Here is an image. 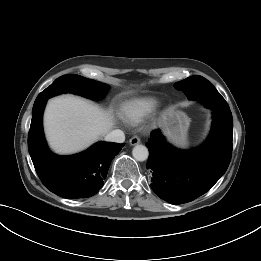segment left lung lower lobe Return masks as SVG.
I'll return each mask as SVG.
<instances>
[{
  "instance_id": "left-lung-lower-lobe-1",
  "label": "left lung lower lobe",
  "mask_w": 261,
  "mask_h": 261,
  "mask_svg": "<svg viewBox=\"0 0 261 261\" xmlns=\"http://www.w3.org/2000/svg\"><path fill=\"white\" fill-rule=\"evenodd\" d=\"M187 97L213 111L207 141L197 149L181 151L154 130L146 143L147 169L152 173L150 186L161 199L174 205L193 201L210 190L227 170L232 155V114L224 98L209 81Z\"/></svg>"
}]
</instances>
